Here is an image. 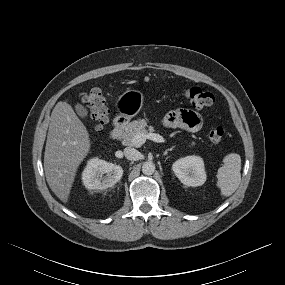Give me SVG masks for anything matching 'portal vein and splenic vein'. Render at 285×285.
I'll use <instances>...</instances> for the list:
<instances>
[{"mask_svg": "<svg viewBox=\"0 0 285 285\" xmlns=\"http://www.w3.org/2000/svg\"><path fill=\"white\" fill-rule=\"evenodd\" d=\"M146 139H149V140H152V141L158 142V143H165L166 142V140L159 134L139 133L132 138V144L136 147H140L146 142Z\"/></svg>", "mask_w": 285, "mask_h": 285, "instance_id": "1", "label": "portal vein and splenic vein"}]
</instances>
